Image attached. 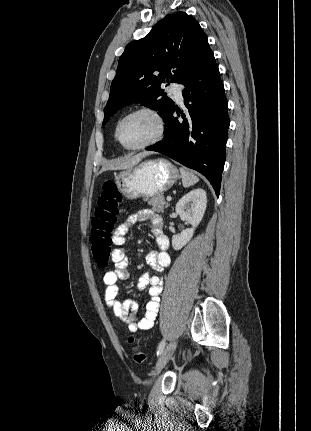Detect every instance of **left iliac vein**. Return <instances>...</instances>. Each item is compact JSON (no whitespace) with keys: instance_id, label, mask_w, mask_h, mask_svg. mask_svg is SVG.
I'll list each match as a JSON object with an SVG mask.
<instances>
[{"instance_id":"left-iliac-vein-1","label":"left iliac vein","mask_w":311,"mask_h":431,"mask_svg":"<svg viewBox=\"0 0 311 431\" xmlns=\"http://www.w3.org/2000/svg\"><path fill=\"white\" fill-rule=\"evenodd\" d=\"M177 346V342L175 340L171 341L166 348L164 349V351L162 352L155 370L153 371V377H155L162 369L163 367L166 365V363L169 361V359L171 358V356L173 355L175 349Z\"/></svg>"}]
</instances>
